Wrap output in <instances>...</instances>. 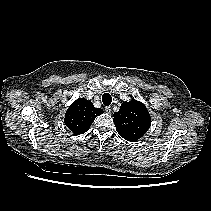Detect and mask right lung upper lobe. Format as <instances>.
<instances>
[{
  "instance_id": "cb5924a9",
  "label": "right lung upper lobe",
  "mask_w": 211,
  "mask_h": 211,
  "mask_svg": "<svg viewBox=\"0 0 211 211\" xmlns=\"http://www.w3.org/2000/svg\"><path fill=\"white\" fill-rule=\"evenodd\" d=\"M102 113L103 110L95 108L92 102L85 98H78L69 106L64 122L75 135H80L85 133L94 119Z\"/></svg>"
}]
</instances>
